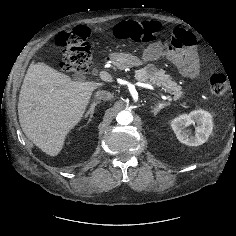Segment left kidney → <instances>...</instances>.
Listing matches in <instances>:
<instances>
[{
  "label": "left kidney",
  "instance_id": "5707ae66",
  "mask_svg": "<svg viewBox=\"0 0 236 236\" xmlns=\"http://www.w3.org/2000/svg\"><path fill=\"white\" fill-rule=\"evenodd\" d=\"M190 125L195 126V134L192 135ZM171 127L177 139L188 146L204 144L213 130L212 115L202 109L194 110L189 114H182L171 121Z\"/></svg>",
  "mask_w": 236,
  "mask_h": 236
}]
</instances>
